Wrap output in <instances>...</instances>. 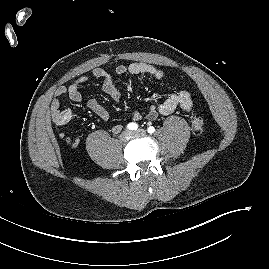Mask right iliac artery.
<instances>
[{"mask_svg": "<svg viewBox=\"0 0 269 269\" xmlns=\"http://www.w3.org/2000/svg\"><path fill=\"white\" fill-rule=\"evenodd\" d=\"M127 128L129 130H136L138 128V124L131 122L127 125Z\"/></svg>", "mask_w": 269, "mask_h": 269, "instance_id": "obj_1", "label": "right iliac artery"}]
</instances>
